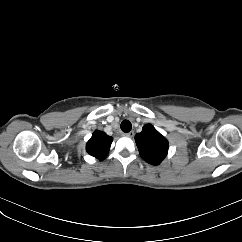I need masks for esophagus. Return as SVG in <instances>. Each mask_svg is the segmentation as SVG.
<instances>
[{"label":"esophagus","instance_id":"34e87169","mask_svg":"<svg viewBox=\"0 0 242 242\" xmlns=\"http://www.w3.org/2000/svg\"><path fill=\"white\" fill-rule=\"evenodd\" d=\"M124 136L131 138L134 136V131H130V132L124 134Z\"/></svg>","mask_w":242,"mask_h":242}]
</instances>
